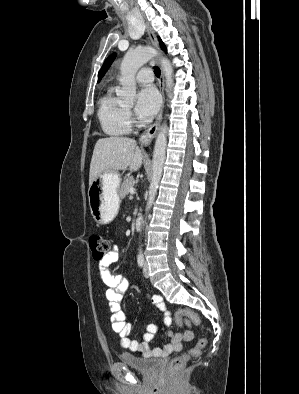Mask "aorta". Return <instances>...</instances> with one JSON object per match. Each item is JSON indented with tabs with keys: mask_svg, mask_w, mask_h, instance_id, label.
<instances>
[{
	"mask_svg": "<svg viewBox=\"0 0 299 394\" xmlns=\"http://www.w3.org/2000/svg\"><path fill=\"white\" fill-rule=\"evenodd\" d=\"M157 55L155 49L151 47H145L133 51H129L124 56L121 66L120 73L121 77L119 79L122 87L118 95L125 101L132 103L136 96V82L135 75L139 68L147 63L150 59ZM161 66L166 78L167 91L170 92L173 86V68L168 59L163 58L161 60ZM167 125L164 123L159 130L156 138L154 152H153V166H152V178L149 187V196L146 205V213L149 212L159 186V182L162 176L163 165L166 155V145H167ZM146 221H143V225ZM139 254L142 255V250L140 249Z\"/></svg>",
	"mask_w": 299,
	"mask_h": 394,
	"instance_id": "1",
	"label": "aorta"
}]
</instances>
